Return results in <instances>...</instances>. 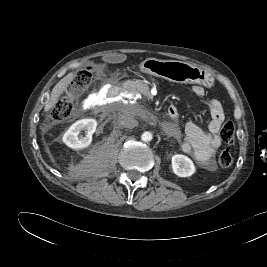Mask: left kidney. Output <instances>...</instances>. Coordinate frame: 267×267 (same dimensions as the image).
Masks as SVG:
<instances>
[{"instance_id": "obj_1", "label": "left kidney", "mask_w": 267, "mask_h": 267, "mask_svg": "<svg viewBox=\"0 0 267 267\" xmlns=\"http://www.w3.org/2000/svg\"><path fill=\"white\" fill-rule=\"evenodd\" d=\"M172 170L179 177H189L196 171L193 161L186 155L176 154L171 160Z\"/></svg>"}]
</instances>
